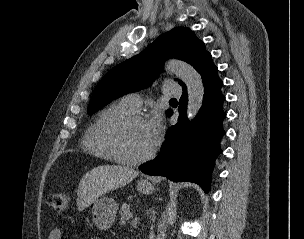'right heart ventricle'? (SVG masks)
<instances>
[{
    "label": "right heart ventricle",
    "instance_id": "right-heart-ventricle-1",
    "mask_svg": "<svg viewBox=\"0 0 304 239\" xmlns=\"http://www.w3.org/2000/svg\"><path fill=\"white\" fill-rule=\"evenodd\" d=\"M132 113L134 111L123 101L113 103L100 111L85 131L82 140L84 150L98 158L115 161L107 139L108 129L115 121Z\"/></svg>",
    "mask_w": 304,
    "mask_h": 239
}]
</instances>
